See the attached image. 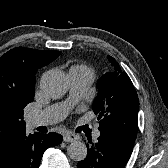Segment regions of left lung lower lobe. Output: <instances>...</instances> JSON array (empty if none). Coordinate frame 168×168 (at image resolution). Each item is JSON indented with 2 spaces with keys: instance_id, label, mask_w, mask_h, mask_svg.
Here are the masks:
<instances>
[{
  "instance_id": "1",
  "label": "left lung lower lobe",
  "mask_w": 168,
  "mask_h": 168,
  "mask_svg": "<svg viewBox=\"0 0 168 168\" xmlns=\"http://www.w3.org/2000/svg\"><path fill=\"white\" fill-rule=\"evenodd\" d=\"M100 132L97 143L87 144V156L78 162V168H124L136 138L116 130Z\"/></svg>"
}]
</instances>
